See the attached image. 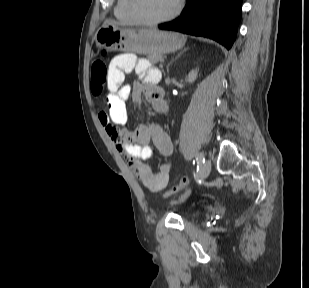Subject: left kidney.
I'll list each match as a JSON object with an SVG mask.
<instances>
[{
  "label": "left kidney",
  "instance_id": "obj_1",
  "mask_svg": "<svg viewBox=\"0 0 309 288\" xmlns=\"http://www.w3.org/2000/svg\"><path fill=\"white\" fill-rule=\"evenodd\" d=\"M197 75H198V71L197 70H192L189 74H188V76H187V81L189 82V83H193L195 80H196V78H197Z\"/></svg>",
  "mask_w": 309,
  "mask_h": 288
}]
</instances>
